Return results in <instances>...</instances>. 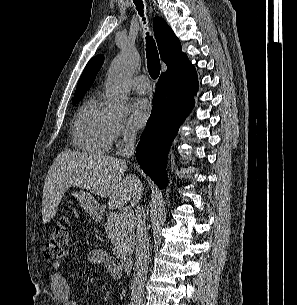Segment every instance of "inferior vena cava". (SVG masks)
Returning <instances> with one entry per match:
<instances>
[{"label":"inferior vena cava","instance_id":"obj_1","mask_svg":"<svg viewBox=\"0 0 297 305\" xmlns=\"http://www.w3.org/2000/svg\"><path fill=\"white\" fill-rule=\"evenodd\" d=\"M135 132L131 130L124 131L125 148L123 156L130 158L134 153ZM138 201V200H137ZM136 231V259L134 264V278L131 291V300L133 303L143 305L144 299V281L146 278L149 264V240L145 223V210L142 205L137 206L135 211Z\"/></svg>","mask_w":297,"mask_h":305}]
</instances>
